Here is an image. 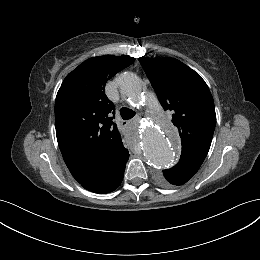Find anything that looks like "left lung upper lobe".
<instances>
[{"instance_id": "obj_1", "label": "left lung upper lobe", "mask_w": 260, "mask_h": 260, "mask_svg": "<svg viewBox=\"0 0 260 260\" xmlns=\"http://www.w3.org/2000/svg\"><path fill=\"white\" fill-rule=\"evenodd\" d=\"M165 110L172 111L182 143L178 164L198 170L210 149L216 114L210 90L194 70L181 61L167 58H138ZM161 175L160 181L170 186Z\"/></svg>"}]
</instances>
